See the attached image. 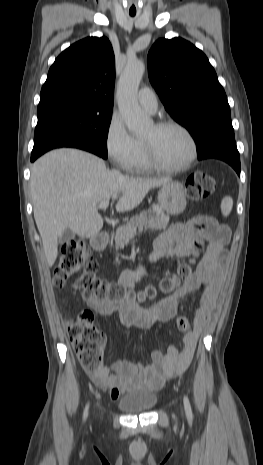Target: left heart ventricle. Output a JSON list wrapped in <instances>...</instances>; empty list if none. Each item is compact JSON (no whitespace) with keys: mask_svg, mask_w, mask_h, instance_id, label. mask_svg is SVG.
<instances>
[{"mask_svg":"<svg viewBox=\"0 0 263 465\" xmlns=\"http://www.w3.org/2000/svg\"><path fill=\"white\" fill-rule=\"evenodd\" d=\"M141 139L151 143L158 158L167 165L182 164L191 153L189 139L176 128L157 130L151 125Z\"/></svg>","mask_w":263,"mask_h":465,"instance_id":"b2bd125f","label":"left heart ventricle"}]
</instances>
